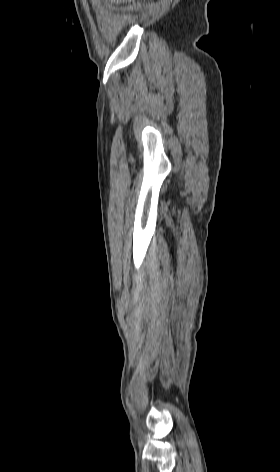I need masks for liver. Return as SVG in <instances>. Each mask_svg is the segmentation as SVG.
<instances>
[{"instance_id":"liver-1","label":"liver","mask_w":280,"mask_h":472,"mask_svg":"<svg viewBox=\"0 0 280 472\" xmlns=\"http://www.w3.org/2000/svg\"><path fill=\"white\" fill-rule=\"evenodd\" d=\"M127 1H130V0H111V2L113 3H124V2H127Z\"/></svg>"}]
</instances>
